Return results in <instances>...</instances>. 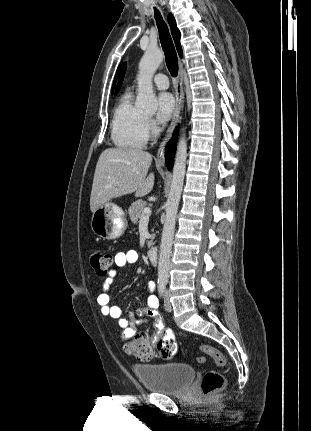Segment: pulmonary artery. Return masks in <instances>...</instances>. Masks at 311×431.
<instances>
[{
	"label": "pulmonary artery",
	"instance_id": "pulmonary-artery-1",
	"mask_svg": "<svg viewBox=\"0 0 311 431\" xmlns=\"http://www.w3.org/2000/svg\"><path fill=\"white\" fill-rule=\"evenodd\" d=\"M154 83L161 90L167 89L170 85L168 77L163 73H157L154 76Z\"/></svg>",
	"mask_w": 311,
	"mask_h": 431
}]
</instances>
